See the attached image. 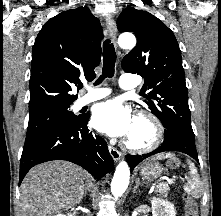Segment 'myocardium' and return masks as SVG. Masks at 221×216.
Returning a JSON list of instances; mask_svg holds the SVG:
<instances>
[{
  "label": "myocardium",
  "instance_id": "myocardium-1",
  "mask_svg": "<svg viewBox=\"0 0 221 216\" xmlns=\"http://www.w3.org/2000/svg\"><path fill=\"white\" fill-rule=\"evenodd\" d=\"M135 121H143L150 126L152 131L150 141L137 144L133 143L128 137L124 141L125 148L135 153H143L156 148L161 143L164 135V128L159 118L147 110H140L135 116Z\"/></svg>",
  "mask_w": 221,
  "mask_h": 216
}]
</instances>
